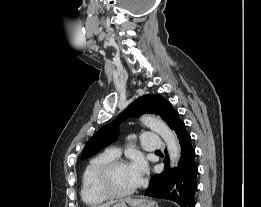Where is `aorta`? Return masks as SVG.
Instances as JSON below:
<instances>
[{
  "mask_svg": "<svg viewBox=\"0 0 261 207\" xmlns=\"http://www.w3.org/2000/svg\"><path fill=\"white\" fill-rule=\"evenodd\" d=\"M141 122L162 137L167 145L171 166L177 165L180 159V145L175 133L161 119L143 115Z\"/></svg>",
  "mask_w": 261,
  "mask_h": 207,
  "instance_id": "obj_1",
  "label": "aorta"
}]
</instances>
